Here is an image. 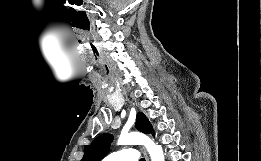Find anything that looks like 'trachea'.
<instances>
[{
	"label": "trachea",
	"instance_id": "obj_1",
	"mask_svg": "<svg viewBox=\"0 0 261 161\" xmlns=\"http://www.w3.org/2000/svg\"><path fill=\"white\" fill-rule=\"evenodd\" d=\"M140 161H145V159H144V158H141Z\"/></svg>",
	"mask_w": 261,
	"mask_h": 161
}]
</instances>
